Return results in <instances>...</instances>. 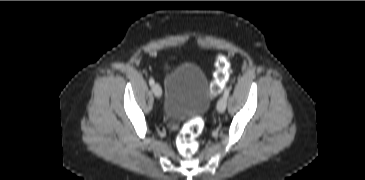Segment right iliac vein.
Here are the masks:
<instances>
[{
    "instance_id": "right-iliac-vein-1",
    "label": "right iliac vein",
    "mask_w": 365,
    "mask_h": 180,
    "mask_svg": "<svg viewBox=\"0 0 365 180\" xmlns=\"http://www.w3.org/2000/svg\"><path fill=\"white\" fill-rule=\"evenodd\" d=\"M153 93L157 98H161L162 96V89L159 84H154L152 87Z\"/></svg>"
}]
</instances>
